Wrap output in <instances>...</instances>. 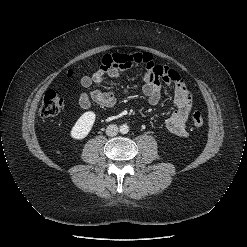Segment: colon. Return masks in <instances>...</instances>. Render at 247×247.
<instances>
[{"mask_svg":"<svg viewBox=\"0 0 247 247\" xmlns=\"http://www.w3.org/2000/svg\"><path fill=\"white\" fill-rule=\"evenodd\" d=\"M63 108V98L57 90H48L42 99L39 115L42 118H50L59 114ZM192 124L200 128L204 125V116L199 111H194L191 117Z\"/></svg>","mask_w":247,"mask_h":247,"instance_id":"5ec220e1","label":"colon"}]
</instances>
